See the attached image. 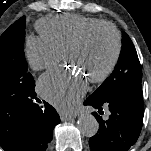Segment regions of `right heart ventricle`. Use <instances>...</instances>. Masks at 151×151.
I'll return each mask as SVG.
<instances>
[{"instance_id":"1","label":"right heart ventricle","mask_w":151,"mask_h":151,"mask_svg":"<svg viewBox=\"0 0 151 151\" xmlns=\"http://www.w3.org/2000/svg\"><path fill=\"white\" fill-rule=\"evenodd\" d=\"M103 21L77 14H63L41 19L37 29L41 36L57 47L62 53L90 26Z\"/></svg>"}]
</instances>
